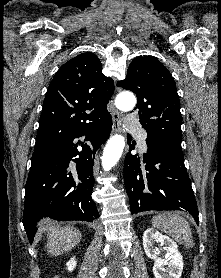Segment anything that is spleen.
Listing matches in <instances>:
<instances>
[{
    "label": "spleen",
    "mask_w": 221,
    "mask_h": 278,
    "mask_svg": "<svg viewBox=\"0 0 221 278\" xmlns=\"http://www.w3.org/2000/svg\"><path fill=\"white\" fill-rule=\"evenodd\" d=\"M152 225L185 247H192L193 237L190 224L184 217L175 213L164 212L152 218Z\"/></svg>",
    "instance_id": "1"
}]
</instances>
